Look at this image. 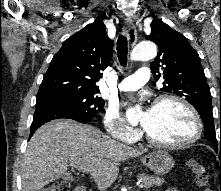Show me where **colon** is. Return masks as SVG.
Here are the masks:
<instances>
[{"label":"colon","instance_id":"5ec220e1","mask_svg":"<svg viewBox=\"0 0 221 191\" xmlns=\"http://www.w3.org/2000/svg\"><path fill=\"white\" fill-rule=\"evenodd\" d=\"M189 167L195 176L198 185L203 186L207 182V172L204 165L196 160L189 161ZM43 191H70V184L66 181H57L50 187ZM206 191H215L214 189H207Z\"/></svg>","mask_w":221,"mask_h":191}]
</instances>
